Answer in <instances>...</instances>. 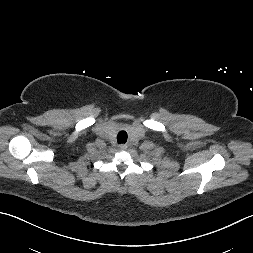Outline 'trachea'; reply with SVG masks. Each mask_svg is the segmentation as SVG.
I'll return each mask as SVG.
<instances>
[{"label": "trachea", "mask_w": 253, "mask_h": 253, "mask_svg": "<svg viewBox=\"0 0 253 253\" xmlns=\"http://www.w3.org/2000/svg\"><path fill=\"white\" fill-rule=\"evenodd\" d=\"M127 141V133L125 131H121L117 135V142L120 143H126Z\"/></svg>", "instance_id": "trachea-1"}]
</instances>
